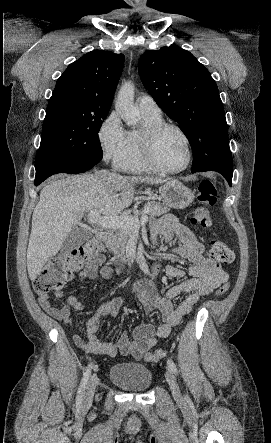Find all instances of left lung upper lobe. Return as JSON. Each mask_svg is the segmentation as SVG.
<instances>
[{"mask_svg": "<svg viewBox=\"0 0 271 443\" xmlns=\"http://www.w3.org/2000/svg\"><path fill=\"white\" fill-rule=\"evenodd\" d=\"M138 72L156 103L188 138L193 151L191 171H216L231 184L227 123L209 71L190 52L169 46L146 51Z\"/></svg>", "mask_w": 271, "mask_h": 443, "instance_id": "1", "label": "left lung upper lobe"}]
</instances>
